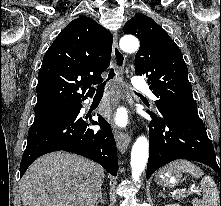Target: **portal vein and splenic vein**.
<instances>
[{
	"label": "portal vein and splenic vein",
	"mask_w": 221,
	"mask_h": 206,
	"mask_svg": "<svg viewBox=\"0 0 221 206\" xmlns=\"http://www.w3.org/2000/svg\"><path fill=\"white\" fill-rule=\"evenodd\" d=\"M190 191L196 192L197 194L200 193V190H199L197 187H191V188H190Z\"/></svg>",
	"instance_id": "1"
}]
</instances>
